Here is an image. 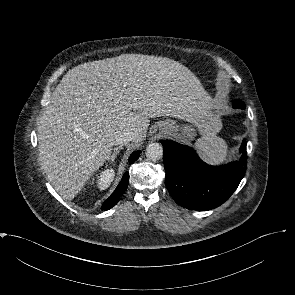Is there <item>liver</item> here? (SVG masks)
Segmentation results:
<instances>
[{
  "instance_id": "1",
  "label": "liver",
  "mask_w": 295,
  "mask_h": 295,
  "mask_svg": "<svg viewBox=\"0 0 295 295\" xmlns=\"http://www.w3.org/2000/svg\"><path fill=\"white\" fill-rule=\"evenodd\" d=\"M208 101L200 80L169 58L122 54L80 64L64 75L39 119L41 164L54 189L72 200L109 159L116 136L133 131L142 142L149 118L189 120Z\"/></svg>"
}]
</instances>
